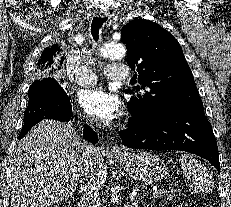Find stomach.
I'll return each instance as SVG.
<instances>
[{
  "label": "stomach",
  "mask_w": 231,
  "mask_h": 207,
  "mask_svg": "<svg viewBox=\"0 0 231 207\" xmlns=\"http://www.w3.org/2000/svg\"><path fill=\"white\" fill-rule=\"evenodd\" d=\"M117 158L124 170L134 179L144 184H153L167 174V166L157 155L147 152H124Z\"/></svg>",
  "instance_id": "0dacf381"
}]
</instances>
